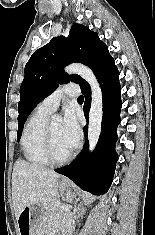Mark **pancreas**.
<instances>
[{
	"label": "pancreas",
	"mask_w": 155,
	"mask_h": 235,
	"mask_svg": "<svg viewBox=\"0 0 155 235\" xmlns=\"http://www.w3.org/2000/svg\"><path fill=\"white\" fill-rule=\"evenodd\" d=\"M60 206L61 202L58 199H52L51 201L44 203L47 214L53 217H58L63 214V210Z\"/></svg>",
	"instance_id": "obj_1"
}]
</instances>
